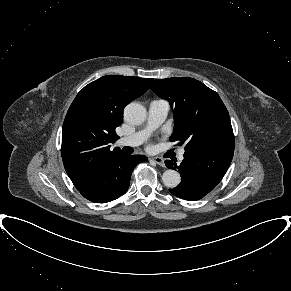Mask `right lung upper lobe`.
Segmentation results:
<instances>
[{
  "label": "right lung upper lobe",
  "mask_w": 291,
  "mask_h": 291,
  "mask_svg": "<svg viewBox=\"0 0 291 291\" xmlns=\"http://www.w3.org/2000/svg\"><path fill=\"white\" fill-rule=\"evenodd\" d=\"M152 78L108 75L86 85L72 102L62 129L61 154L65 170L78 189L111 156L121 153L109 143L123 110L143 95Z\"/></svg>",
  "instance_id": "right-lung-upper-lobe-1"
}]
</instances>
